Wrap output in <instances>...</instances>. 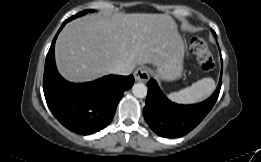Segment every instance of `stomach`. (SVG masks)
I'll return each instance as SVG.
<instances>
[{
  "label": "stomach",
  "instance_id": "stomach-1",
  "mask_svg": "<svg viewBox=\"0 0 261 162\" xmlns=\"http://www.w3.org/2000/svg\"><path fill=\"white\" fill-rule=\"evenodd\" d=\"M185 46L182 38L178 39L170 54L157 66L154 72L159 79L173 81L181 77L183 72Z\"/></svg>",
  "mask_w": 261,
  "mask_h": 162
}]
</instances>
